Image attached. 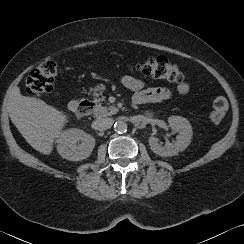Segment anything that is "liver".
Instances as JSON below:
<instances>
[{"instance_id":"1","label":"liver","mask_w":244,"mask_h":244,"mask_svg":"<svg viewBox=\"0 0 244 244\" xmlns=\"http://www.w3.org/2000/svg\"><path fill=\"white\" fill-rule=\"evenodd\" d=\"M9 116L24 139L35 150L49 155L53 142L68 122V116L43 100L16 90L9 99Z\"/></svg>"}]
</instances>
